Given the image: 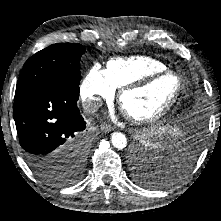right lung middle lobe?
I'll return each instance as SVG.
<instances>
[{
	"label": "right lung middle lobe",
	"instance_id": "obj_1",
	"mask_svg": "<svg viewBox=\"0 0 221 221\" xmlns=\"http://www.w3.org/2000/svg\"><path fill=\"white\" fill-rule=\"evenodd\" d=\"M85 49L77 43H58L51 45L30 57L19 76L15 99L39 87L57 85L79 89L80 58ZM89 150V141L85 148H80L72 163L67 167L70 172L57 170L49 166L37 176L48 184L68 185L75 182L84 168Z\"/></svg>",
	"mask_w": 221,
	"mask_h": 221
}]
</instances>
